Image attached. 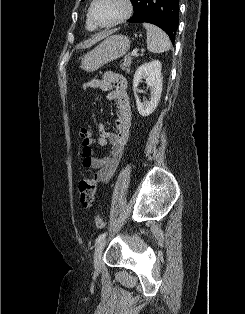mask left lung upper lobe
Here are the masks:
<instances>
[{"instance_id": "obj_1", "label": "left lung upper lobe", "mask_w": 245, "mask_h": 314, "mask_svg": "<svg viewBox=\"0 0 245 314\" xmlns=\"http://www.w3.org/2000/svg\"><path fill=\"white\" fill-rule=\"evenodd\" d=\"M81 1H84V0H81ZM130 1L133 5V8H134V14L138 13L140 10V1L141 0H130Z\"/></svg>"}]
</instances>
